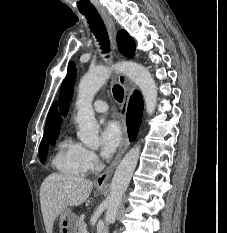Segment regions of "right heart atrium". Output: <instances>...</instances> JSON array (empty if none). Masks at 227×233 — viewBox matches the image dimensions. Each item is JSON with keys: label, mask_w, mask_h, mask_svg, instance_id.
I'll use <instances>...</instances> for the list:
<instances>
[{"label": "right heart atrium", "mask_w": 227, "mask_h": 233, "mask_svg": "<svg viewBox=\"0 0 227 233\" xmlns=\"http://www.w3.org/2000/svg\"><path fill=\"white\" fill-rule=\"evenodd\" d=\"M84 163L87 170H94L99 163L98 157L92 150L84 148Z\"/></svg>", "instance_id": "right-heart-atrium-1"}]
</instances>
